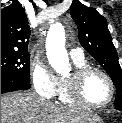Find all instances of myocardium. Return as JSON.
I'll use <instances>...</instances> for the list:
<instances>
[{"instance_id": "myocardium-1", "label": "myocardium", "mask_w": 122, "mask_h": 123, "mask_svg": "<svg viewBox=\"0 0 122 123\" xmlns=\"http://www.w3.org/2000/svg\"><path fill=\"white\" fill-rule=\"evenodd\" d=\"M92 73H98L102 75L110 86V96L102 103H93L88 101L83 95V87L86 79ZM67 94L68 97L76 104L89 107V108H101L107 106L115 96V85L112 78L102 69L86 65L80 68H76L73 73L66 78Z\"/></svg>"}]
</instances>
